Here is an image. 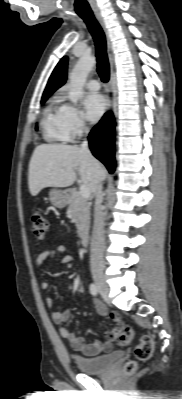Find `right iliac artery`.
Listing matches in <instances>:
<instances>
[{"label":"right iliac artery","mask_w":182,"mask_h":399,"mask_svg":"<svg viewBox=\"0 0 182 399\" xmlns=\"http://www.w3.org/2000/svg\"><path fill=\"white\" fill-rule=\"evenodd\" d=\"M89 291L93 296H97L98 295V287L96 286V284L91 283L89 286Z\"/></svg>","instance_id":"right-iliac-artery-1"}]
</instances>
